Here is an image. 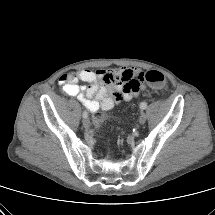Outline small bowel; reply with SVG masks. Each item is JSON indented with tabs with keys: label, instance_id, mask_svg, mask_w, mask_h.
<instances>
[{
	"label": "small bowel",
	"instance_id": "1",
	"mask_svg": "<svg viewBox=\"0 0 215 215\" xmlns=\"http://www.w3.org/2000/svg\"><path fill=\"white\" fill-rule=\"evenodd\" d=\"M142 72L133 67L106 70L84 69L64 74L59 79L63 91L76 97L90 112L108 111L121 101L138 96ZM87 82V86L79 85ZM137 83L135 87L133 84Z\"/></svg>",
	"mask_w": 215,
	"mask_h": 215
}]
</instances>
